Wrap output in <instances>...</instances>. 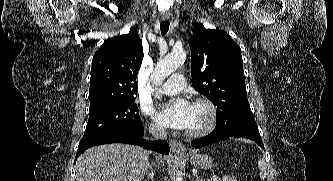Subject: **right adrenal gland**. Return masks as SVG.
Here are the masks:
<instances>
[{
  "mask_svg": "<svg viewBox=\"0 0 333 181\" xmlns=\"http://www.w3.org/2000/svg\"><path fill=\"white\" fill-rule=\"evenodd\" d=\"M153 181L154 180V172L152 168L150 167L149 170L147 171V177L145 178L144 181Z\"/></svg>",
  "mask_w": 333,
  "mask_h": 181,
  "instance_id": "2a0ac1e0",
  "label": "right adrenal gland"
}]
</instances>
